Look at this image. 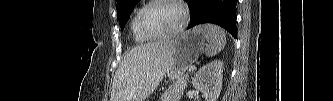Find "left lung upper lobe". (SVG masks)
<instances>
[{"label":"left lung upper lobe","instance_id":"left-lung-upper-lobe-1","mask_svg":"<svg viewBox=\"0 0 333 101\" xmlns=\"http://www.w3.org/2000/svg\"><path fill=\"white\" fill-rule=\"evenodd\" d=\"M139 0H117V13L119 18V24L123 30L127 20L129 19L135 5Z\"/></svg>","mask_w":333,"mask_h":101}]
</instances>
